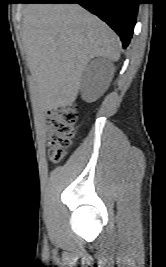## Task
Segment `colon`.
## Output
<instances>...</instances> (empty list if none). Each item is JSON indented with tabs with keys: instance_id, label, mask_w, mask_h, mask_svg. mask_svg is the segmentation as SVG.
<instances>
[{
	"instance_id": "obj_1",
	"label": "colon",
	"mask_w": 166,
	"mask_h": 267,
	"mask_svg": "<svg viewBox=\"0 0 166 267\" xmlns=\"http://www.w3.org/2000/svg\"><path fill=\"white\" fill-rule=\"evenodd\" d=\"M77 117V109L73 104L48 112L47 122L50 127L48 154L52 162H60L65 157L75 135Z\"/></svg>"
}]
</instances>
